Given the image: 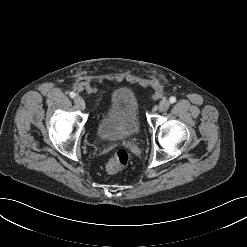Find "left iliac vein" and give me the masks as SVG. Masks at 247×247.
I'll return each instance as SVG.
<instances>
[{
	"label": "left iliac vein",
	"instance_id": "4c4485c4",
	"mask_svg": "<svg viewBox=\"0 0 247 247\" xmlns=\"http://www.w3.org/2000/svg\"><path fill=\"white\" fill-rule=\"evenodd\" d=\"M170 107V102L168 100H163L158 106V110L161 112L167 111Z\"/></svg>",
	"mask_w": 247,
	"mask_h": 247
}]
</instances>
